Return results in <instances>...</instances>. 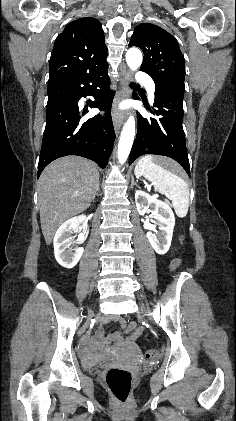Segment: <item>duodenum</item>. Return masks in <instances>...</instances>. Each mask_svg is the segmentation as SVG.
Instances as JSON below:
<instances>
[{"instance_id":"duodenum-1","label":"duodenum","mask_w":236,"mask_h":421,"mask_svg":"<svg viewBox=\"0 0 236 421\" xmlns=\"http://www.w3.org/2000/svg\"><path fill=\"white\" fill-rule=\"evenodd\" d=\"M133 334H130V336H128V338H132ZM116 339H122L121 335L119 333L113 335L111 337L110 340L105 341V342H95L91 339H88L82 346L81 349V354H82V359L83 361L88 365V366H93L95 364H97L98 362H100L101 360H103L104 354L102 352H97V347L101 346L104 347L107 343H109L110 341L116 340Z\"/></svg>"}]
</instances>
